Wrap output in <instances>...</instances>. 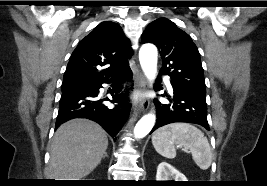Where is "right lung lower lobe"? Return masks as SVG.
Returning a JSON list of instances; mask_svg holds the SVG:
<instances>
[{
	"label": "right lung lower lobe",
	"instance_id": "1",
	"mask_svg": "<svg viewBox=\"0 0 267 186\" xmlns=\"http://www.w3.org/2000/svg\"><path fill=\"white\" fill-rule=\"evenodd\" d=\"M132 71L127 65L116 74L103 80L77 83L62 88V96L56 120V128L74 118H87L99 123L115 140V136L125 123L130 105L124 94L120 93L121 84L130 79ZM103 83H112V100L100 99L99 89ZM108 100L117 103L109 109L102 102Z\"/></svg>",
	"mask_w": 267,
	"mask_h": 186
}]
</instances>
